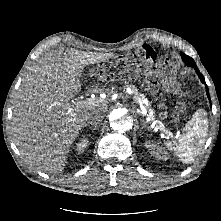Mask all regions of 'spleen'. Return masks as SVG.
Returning <instances> with one entry per match:
<instances>
[{"label":"spleen","instance_id":"1","mask_svg":"<svg viewBox=\"0 0 221 221\" xmlns=\"http://www.w3.org/2000/svg\"><path fill=\"white\" fill-rule=\"evenodd\" d=\"M208 131L206 112L198 110L183 128V135L166 147L185 163H191L202 150Z\"/></svg>","mask_w":221,"mask_h":221}]
</instances>
